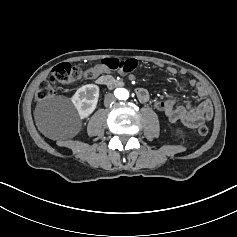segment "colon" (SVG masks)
Returning <instances> with one entry per match:
<instances>
[{"mask_svg": "<svg viewBox=\"0 0 237 237\" xmlns=\"http://www.w3.org/2000/svg\"><path fill=\"white\" fill-rule=\"evenodd\" d=\"M109 70L117 71L121 74H128L133 72L138 67V61L136 59L119 60L117 58H106L100 62ZM82 76V70L69 63H62L57 65L48 81L42 82L36 92V99L38 101H44L54 95V85H71L76 82ZM208 127L201 125L198 128V133L202 136L208 134Z\"/></svg>", "mask_w": 237, "mask_h": 237, "instance_id": "colon-1", "label": "colon"}]
</instances>
